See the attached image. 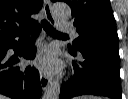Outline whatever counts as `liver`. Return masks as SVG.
Returning a JSON list of instances; mask_svg holds the SVG:
<instances>
[{"mask_svg":"<svg viewBox=\"0 0 128 99\" xmlns=\"http://www.w3.org/2000/svg\"><path fill=\"white\" fill-rule=\"evenodd\" d=\"M0 99H8V98H6V97L3 96V95H0Z\"/></svg>","mask_w":128,"mask_h":99,"instance_id":"6515ba94","label":"liver"}]
</instances>
